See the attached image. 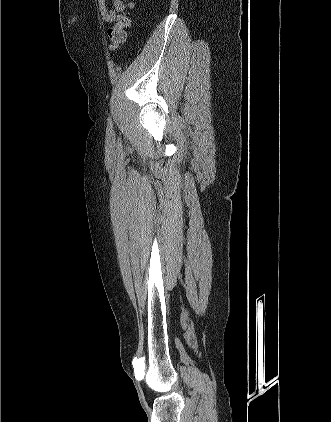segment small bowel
Segmentation results:
<instances>
[{
	"instance_id": "1",
	"label": "small bowel",
	"mask_w": 331,
	"mask_h": 422,
	"mask_svg": "<svg viewBox=\"0 0 331 422\" xmlns=\"http://www.w3.org/2000/svg\"><path fill=\"white\" fill-rule=\"evenodd\" d=\"M97 2L100 15L106 22H113L118 12L123 11L125 8L122 0H112V4H110L109 0H97Z\"/></svg>"
}]
</instances>
